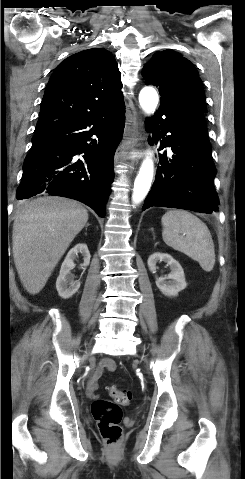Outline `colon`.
Returning a JSON list of instances; mask_svg holds the SVG:
<instances>
[{"mask_svg":"<svg viewBox=\"0 0 245 479\" xmlns=\"http://www.w3.org/2000/svg\"><path fill=\"white\" fill-rule=\"evenodd\" d=\"M112 399H96L92 403V414L102 438L108 446L118 444L122 437V406L129 404L131 393L111 388Z\"/></svg>","mask_w":245,"mask_h":479,"instance_id":"1","label":"colon"}]
</instances>
